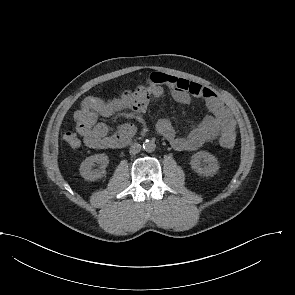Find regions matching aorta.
Listing matches in <instances>:
<instances>
[{"instance_id": "obj_1", "label": "aorta", "mask_w": 295, "mask_h": 295, "mask_svg": "<svg viewBox=\"0 0 295 295\" xmlns=\"http://www.w3.org/2000/svg\"><path fill=\"white\" fill-rule=\"evenodd\" d=\"M155 148H156V144L153 141L146 140L143 143V149L148 153L153 152L155 150Z\"/></svg>"}]
</instances>
